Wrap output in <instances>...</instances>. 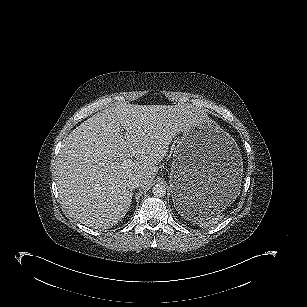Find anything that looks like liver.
<instances>
[{
	"instance_id": "liver-1",
	"label": "liver",
	"mask_w": 307,
	"mask_h": 307,
	"mask_svg": "<svg viewBox=\"0 0 307 307\" xmlns=\"http://www.w3.org/2000/svg\"><path fill=\"white\" fill-rule=\"evenodd\" d=\"M207 115L182 106L120 103L94 114L63 141L55 175L63 208L95 229L118 224L129 211L127 184L151 186L178 129ZM135 157L132 163L127 159Z\"/></svg>"
}]
</instances>
